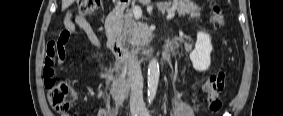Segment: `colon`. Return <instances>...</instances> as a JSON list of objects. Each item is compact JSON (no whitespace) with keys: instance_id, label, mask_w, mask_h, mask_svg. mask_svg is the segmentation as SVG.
Wrapping results in <instances>:
<instances>
[{"instance_id":"colon-1","label":"colon","mask_w":283,"mask_h":116,"mask_svg":"<svg viewBox=\"0 0 283 116\" xmlns=\"http://www.w3.org/2000/svg\"><path fill=\"white\" fill-rule=\"evenodd\" d=\"M99 0H79L78 13L81 16H89L98 8ZM211 21L217 28L224 25L223 9L219 3H214L212 7ZM62 40H68V33L63 31L60 35ZM59 38V40H60ZM58 40V41H59ZM44 85L48 89V102L51 107L58 111H67L74 103L77 97L75 89L64 81H57L53 77L44 75ZM225 88V73L221 70L210 73L204 83L203 89L209 100V109L211 112H217L222 106L221 93Z\"/></svg>"}]
</instances>
